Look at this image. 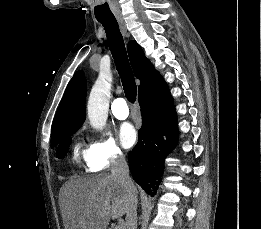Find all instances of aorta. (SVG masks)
Listing matches in <instances>:
<instances>
[{
    "label": "aorta",
    "instance_id": "762f6f07",
    "mask_svg": "<svg viewBox=\"0 0 261 229\" xmlns=\"http://www.w3.org/2000/svg\"><path fill=\"white\" fill-rule=\"evenodd\" d=\"M112 72L110 68H101L99 76L89 94L88 119L94 129H102L107 123Z\"/></svg>",
    "mask_w": 261,
    "mask_h": 229
}]
</instances>
